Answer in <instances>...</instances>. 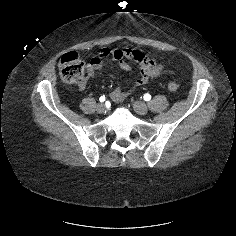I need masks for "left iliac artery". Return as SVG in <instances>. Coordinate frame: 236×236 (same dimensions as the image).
I'll list each match as a JSON object with an SVG mask.
<instances>
[{"label": "left iliac artery", "mask_w": 236, "mask_h": 236, "mask_svg": "<svg viewBox=\"0 0 236 236\" xmlns=\"http://www.w3.org/2000/svg\"><path fill=\"white\" fill-rule=\"evenodd\" d=\"M150 99H151V95L148 94V93H146V94L144 95V100H145V101H149Z\"/></svg>", "instance_id": "44dca946"}]
</instances>
